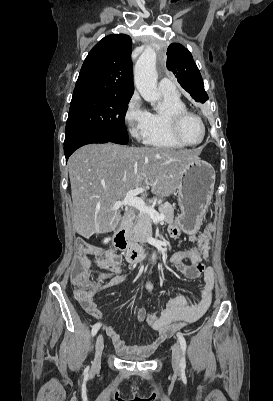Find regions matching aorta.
<instances>
[{"instance_id":"1","label":"aorta","mask_w":273,"mask_h":401,"mask_svg":"<svg viewBox=\"0 0 273 401\" xmlns=\"http://www.w3.org/2000/svg\"><path fill=\"white\" fill-rule=\"evenodd\" d=\"M134 81L144 100L156 107L160 95L157 90L156 53L153 49H146L137 60Z\"/></svg>"}]
</instances>
